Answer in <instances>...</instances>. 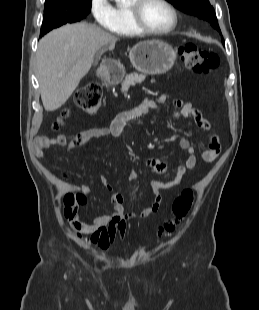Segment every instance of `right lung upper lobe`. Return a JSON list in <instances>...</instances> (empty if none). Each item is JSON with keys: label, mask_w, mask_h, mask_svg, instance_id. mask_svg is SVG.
Wrapping results in <instances>:
<instances>
[{"label": "right lung upper lobe", "mask_w": 259, "mask_h": 310, "mask_svg": "<svg viewBox=\"0 0 259 310\" xmlns=\"http://www.w3.org/2000/svg\"><path fill=\"white\" fill-rule=\"evenodd\" d=\"M62 1H82V0H45V4H51V3L62 2Z\"/></svg>", "instance_id": "right-lung-upper-lobe-1"}]
</instances>
